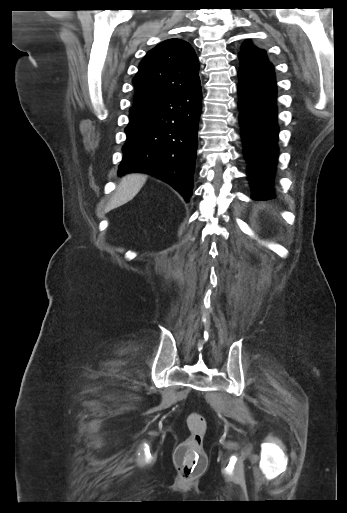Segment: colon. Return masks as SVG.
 <instances>
[{
	"label": "colon",
	"instance_id": "obj_1",
	"mask_svg": "<svg viewBox=\"0 0 347 513\" xmlns=\"http://www.w3.org/2000/svg\"><path fill=\"white\" fill-rule=\"evenodd\" d=\"M186 422L190 435L180 445L176 466L181 475L193 479L199 476L206 467L203 441L207 425L204 417L195 412L187 416Z\"/></svg>",
	"mask_w": 347,
	"mask_h": 513
}]
</instances>
